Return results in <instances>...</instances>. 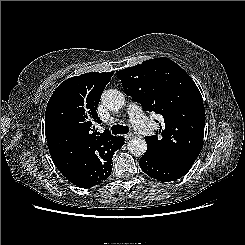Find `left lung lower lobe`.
<instances>
[{
  "mask_svg": "<svg viewBox=\"0 0 245 245\" xmlns=\"http://www.w3.org/2000/svg\"><path fill=\"white\" fill-rule=\"evenodd\" d=\"M139 165L147 175L162 182L175 181L192 167V165L165 162L148 154L141 157Z\"/></svg>",
  "mask_w": 245,
  "mask_h": 245,
  "instance_id": "0a47b994",
  "label": "left lung lower lobe"
}]
</instances>
